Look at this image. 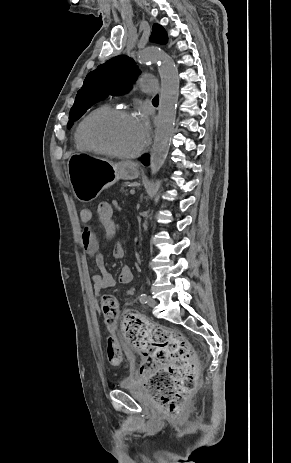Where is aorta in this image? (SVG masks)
<instances>
[{
  "label": "aorta",
  "instance_id": "aorta-1",
  "mask_svg": "<svg viewBox=\"0 0 291 463\" xmlns=\"http://www.w3.org/2000/svg\"><path fill=\"white\" fill-rule=\"evenodd\" d=\"M137 60L139 63L157 62L161 77L158 122L150 157L151 173L154 175L163 166L170 147L178 101V69L167 54L155 47L141 50Z\"/></svg>",
  "mask_w": 291,
  "mask_h": 463
}]
</instances>
